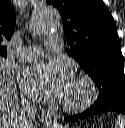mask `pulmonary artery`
Returning a JSON list of instances; mask_svg holds the SVG:
<instances>
[{"instance_id":"1","label":"pulmonary artery","mask_w":125,"mask_h":128,"mask_svg":"<svg viewBox=\"0 0 125 128\" xmlns=\"http://www.w3.org/2000/svg\"><path fill=\"white\" fill-rule=\"evenodd\" d=\"M46 49L51 53H57L61 49V38L58 35L49 36L45 43ZM43 55V49L38 46H27L18 51L16 57L20 62L39 60Z\"/></svg>"}]
</instances>
